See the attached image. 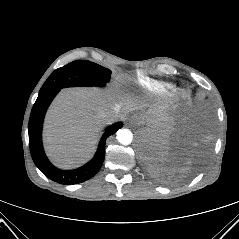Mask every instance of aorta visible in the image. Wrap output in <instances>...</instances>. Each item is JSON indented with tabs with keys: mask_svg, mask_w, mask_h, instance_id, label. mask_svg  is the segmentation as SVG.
Instances as JSON below:
<instances>
[{
	"mask_svg": "<svg viewBox=\"0 0 239 239\" xmlns=\"http://www.w3.org/2000/svg\"><path fill=\"white\" fill-rule=\"evenodd\" d=\"M117 140L122 145H129L133 140V134L129 129L122 128L117 131Z\"/></svg>",
	"mask_w": 239,
	"mask_h": 239,
	"instance_id": "aorta-1",
	"label": "aorta"
}]
</instances>
